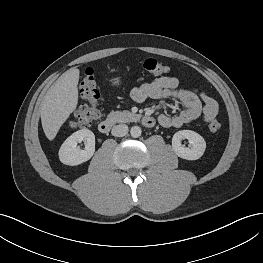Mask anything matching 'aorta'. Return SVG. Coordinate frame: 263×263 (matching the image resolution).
<instances>
[{"mask_svg":"<svg viewBox=\"0 0 263 263\" xmlns=\"http://www.w3.org/2000/svg\"><path fill=\"white\" fill-rule=\"evenodd\" d=\"M142 130L139 126H133L130 130V134L133 138H138L141 136Z\"/></svg>","mask_w":263,"mask_h":263,"instance_id":"1","label":"aorta"}]
</instances>
